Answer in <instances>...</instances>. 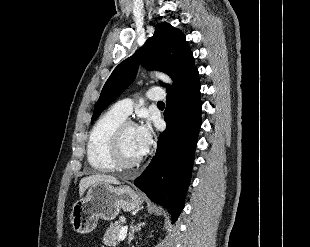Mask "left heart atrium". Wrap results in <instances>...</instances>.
I'll return each mask as SVG.
<instances>
[{"instance_id":"1","label":"left heart atrium","mask_w":310,"mask_h":247,"mask_svg":"<svg viewBox=\"0 0 310 247\" xmlns=\"http://www.w3.org/2000/svg\"><path fill=\"white\" fill-rule=\"evenodd\" d=\"M153 131L148 121L137 126V138L142 156L147 153L152 143Z\"/></svg>"}]
</instances>
